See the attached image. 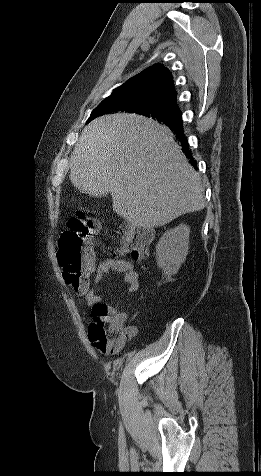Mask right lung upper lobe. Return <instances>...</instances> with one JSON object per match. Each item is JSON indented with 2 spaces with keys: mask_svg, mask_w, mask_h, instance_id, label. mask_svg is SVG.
<instances>
[{
  "mask_svg": "<svg viewBox=\"0 0 261 476\" xmlns=\"http://www.w3.org/2000/svg\"><path fill=\"white\" fill-rule=\"evenodd\" d=\"M176 94L170 71L155 64L130 78L111 95L120 96L121 103L157 101L178 109Z\"/></svg>",
  "mask_w": 261,
  "mask_h": 476,
  "instance_id": "cb5924a9",
  "label": "right lung upper lobe"
}]
</instances>
